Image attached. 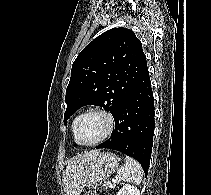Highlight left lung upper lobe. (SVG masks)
Here are the masks:
<instances>
[{
    "label": "left lung upper lobe",
    "instance_id": "left-lung-upper-lobe-1",
    "mask_svg": "<svg viewBox=\"0 0 211 195\" xmlns=\"http://www.w3.org/2000/svg\"><path fill=\"white\" fill-rule=\"evenodd\" d=\"M147 70L142 44L132 30L113 28L99 35L72 65L64 123L85 105L101 106L114 117Z\"/></svg>",
    "mask_w": 211,
    "mask_h": 195
}]
</instances>
